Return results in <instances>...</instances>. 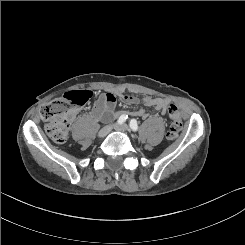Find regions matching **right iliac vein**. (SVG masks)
<instances>
[{"mask_svg": "<svg viewBox=\"0 0 245 245\" xmlns=\"http://www.w3.org/2000/svg\"><path fill=\"white\" fill-rule=\"evenodd\" d=\"M112 130V125H107L105 127H103L99 133H98V137L103 138L106 135H108L110 133V131Z\"/></svg>", "mask_w": 245, "mask_h": 245, "instance_id": "1", "label": "right iliac vein"}]
</instances>
